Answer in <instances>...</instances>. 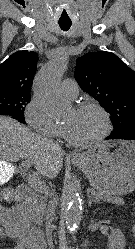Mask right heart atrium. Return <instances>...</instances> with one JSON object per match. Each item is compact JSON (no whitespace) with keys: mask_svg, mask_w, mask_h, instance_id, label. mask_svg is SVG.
Masks as SVG:
<instances>
[{"mask_svg":"<svg viewBox=\"0 0 135 249\" xmlns=\"http://www.w3.org/2000/svg\"><path fill=\"white\" fill-rule=\"evenodd\" d=\"M24 116L29 127L38 134L51 138H59L63 134L62 127L49 117L36 97H32L27 104Z\"/></svg>","mask_w":135,"mask_h":249,"instance_id":"obj_1","label":"right heart atrium"}]
</instances>
